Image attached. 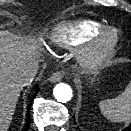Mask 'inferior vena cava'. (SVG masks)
Masks as SVG:
<instances>
[{
	"label": "inferior vena cava",
	"mask_w": 131,
	"mask_h": 131,
	"mask_svg": "<svg viewBox=\"0 0 131 131\" xmlns=\"http://www.w3.org/2000/svg\"><path fill=\"white\" fill-rule=\"evenodd\" d=\"M38 62L37 61H34L31 65H29L27 68H25L18 76V80H19V83L22 85V86H26L28 84H30L37 71H38Z\"/></svg>",
	"instance_id": "inferior-vena-cava-1"
}]
</instances>
